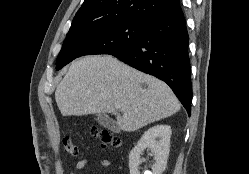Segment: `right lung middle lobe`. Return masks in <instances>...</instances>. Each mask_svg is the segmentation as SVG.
<instances>
[{
	"instance_id": "dd1d6c3e",
	"label": "right lung middle lobe",
	"mask_w": 249,
	"mask_h": 174,
	"mask_svg": "<svg viewBox=\"0 0 249 174\" xmlns=\"http://www.w3.org/2000/svg\"><path fill=\"white\" fill-rule=\"evenodd\" d=\"M145 24L146 21L124 19L68 32L56 69L81 56L124 51L141 37Z\"/></svg>"
}]
</instances>
